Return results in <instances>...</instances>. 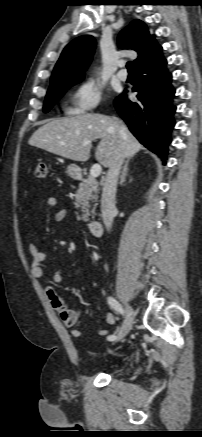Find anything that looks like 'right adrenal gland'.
<instances>
[{
	"instance_id": "2a0ac1e0",
	"label": "right adrenal gland",
	"mask_w": 202,
	"mask_h": 437,
	"mask_svg": "<svg viewBox=\"0 0 202 437\" xmlns=\"http://www.w3.org/2000/svg\"><path fill=\"white\" fill-rule=\"evenodd\" d=\"M129 161H130V159H128L126 162H125V165H124V167H123V171H122V175H121V178H120V185H123V183L125 182V180H126V176H127V172H128V164H129Z\"/></svg>"
}]
</instances>
